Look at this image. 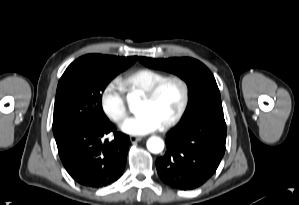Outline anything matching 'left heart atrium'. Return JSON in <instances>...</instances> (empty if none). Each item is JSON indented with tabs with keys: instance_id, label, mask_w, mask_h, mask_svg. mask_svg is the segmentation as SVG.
Instances as JSON below:
<instances>
[{
	"instance_id": "39dd6f15",
	"label": "left heart atrium",
	"mask_w": 299,
	"mask_h": 205,
	"mask_svg": "<svg viewBox=\"0 0 299 205\" xmlns=\"http://www.w3.org/2000/svg\"><path fill=\"white\" fill-rule=\"evenodd\" d=\"M161 123L150 113L142 112L126 120L121 129L133 136H142L158 130Z\"/></svg>"
}]
</instances>
